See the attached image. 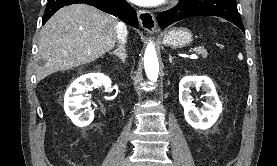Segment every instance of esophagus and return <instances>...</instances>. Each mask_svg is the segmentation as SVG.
<instances>
[{
    "instance_id": "1",
    "label": "esophagus",
    "mask_w": 277,
    "mask_h": 166,
    "mask_svg": "<svg viewBox=\"0 0 277 166\" xmlns=\"http://www.w3.org/2000/svg\"><path fill=\"white\" fill-rule=\"evenodd\" d=\"M138 19L141 27L148 33H155L157 31V25L154 15L150 11L139 10Z\"/></svg>"
}]
</instances>
